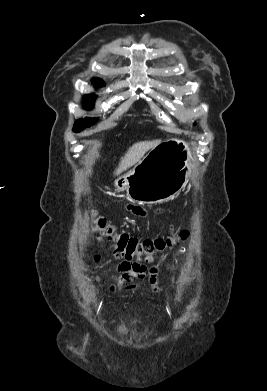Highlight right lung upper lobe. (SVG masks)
<instances>
[{"mask_svg":"<svg viewBox=\"0 0 267 391\" xmlns=\"http://www.w3.org/2000/svg\"><path fill=\"white\" fill-rule=\"evenodd\" d=\"M93 83H94L95 85H98V86H103V85H104L103 81L100 80V79H94V80H93Z\"/></svg>","mask_w":267,"mask_h":391,"instance_id":"cb5924a9","label":"right lung upper lobe"}]
</instances>
